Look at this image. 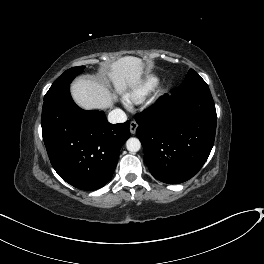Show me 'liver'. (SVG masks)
I'll list each match as a JSON object with an SVG mask.
<instances>
[{"mask_svg":"<svg viewBox=\"0 0 264 264\" xmlns=\"http://www.w3.org/2000/svg\"><path fill=\"white\" fill-rule=\"evenodd\" d=\"M143 73L142 60L125 56L110 65L107 72L115 93H112L107 84L92 77L78 78L71 85V94L74 101L83 109L111 108L118 100L117 94H123L127 89L135 88Z\"/></svg>","mask_w":264,"mask_h":264,"instance_id":"6515ba94","label":"liver"}]
</instances>
